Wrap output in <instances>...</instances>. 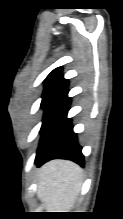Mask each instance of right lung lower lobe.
<instances>
[{
	"label": "right lung lower lobe",
	"instance_id": "1",
	"mask_svg": "<svg viewBox=\"0 0 123 219\" xmlns=\"http://www.w3.org/2000/svg\"><path fill=\"white\" fill-rule=\"evenodd\" d=\"M67 93L68 91L52 107L43 122L41 140L35 159L38 166L51 159H67L84 165L81 147L72 130L71 120L67 118L70 106Z\"/></svg>",
	"mask_w": 123,
	"mask_h": 219
}]
</instances>
